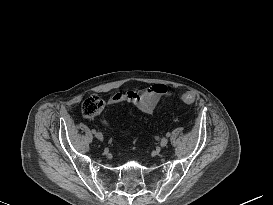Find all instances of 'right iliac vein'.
Returning <instances> with one entry per match:
<instances>
[{
    "instance_id": "1",
    "label": "right iliac vein",
    "mask_w": 273,
    "mask_h": 205,
    "mask_svg": "<svg viewBox=\"0 0 273 205\" xmlns=\"http://www.w3.org/2000/svg\"><path fill=\"white\" fill-rule=\"evenodd\" d=\"M95 137L98 139V140H103V135L101 132H96L95 133Z\"/></svg>"
}]
</instances>
